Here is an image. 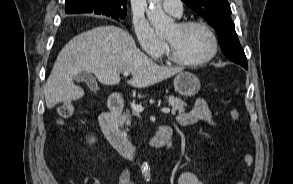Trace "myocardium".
I'll return each instance as SVG.
<instances>
[{
    "instance_id": "obj_1",
    "label": "myocardium",
    "mask_w": 293,
    "mask_h": 184,
    "mask_svg": "<svg viewBox=\"0 0 293 184\" xmlns=\"http://www.w3.org/2000/svg\"><path fill=\"white\" fill-rule=\"evenodd\" d=\"M177 26L181 30H186L191 27H202L203 29H205L211 38V50L209 51L207 55H205L204 57L200 59L186 60L179 57L175 53L171 44L167 42V56L172 62L179 65H183V66H200L209 62L216 56L219 49L218 37L214 29L207 22L201 21V20H187V21L180 22Z\"/></svg>"
}]
</instances>
